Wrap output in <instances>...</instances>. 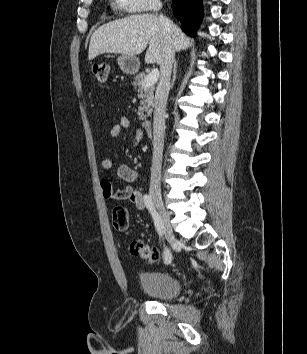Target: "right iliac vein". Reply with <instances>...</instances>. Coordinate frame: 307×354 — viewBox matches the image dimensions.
<instances>
[{
	"mask_svg": "<svg viewBox=\"0 0 307 354\" xmlns=\"http://www.w3.org/2000/svg\"><path fill=\"white\" fill-rule=\"evenodd\" d=\"M152 199L156 208L158 209L159 216L162 221L164 236L169 243H172L175 240V235L173 233L169 215L164 207L163 201L161 197L156 194L152 195Z\"/></svg>",
	"mask_w": 307,
	"mask_h": 354,
	"instance_id": "right-iliac-vein-1",
	"label": "right iliac vein"
}]
</instances>
